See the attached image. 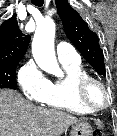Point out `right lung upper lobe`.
<instances>
[{"label":"right lung upper lobe","mask_w":117,"mask_h":136,"mask_svg":"<svg viewBox=\"0 0 117 136\" xmlns=\"http://www.w3.org/2000/svg\"><path fill=\"white\" fill-rule=\"evenodd\" d=\"M30 36L21 32L15 15L0 27V63L19 62L26 53Z\"/></svg>","instance_id":"cb5924a9"}]
</instances>
